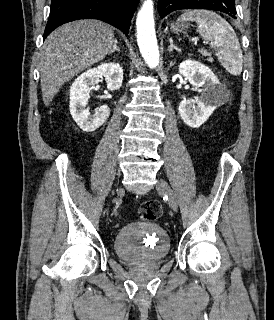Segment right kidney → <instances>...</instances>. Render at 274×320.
I'll return each mask as SVG.
<instances>
[{"label":"right kidney","instance_id":"right-kidney-1","mask_svg":"<svg viewBox=\"0 0 274 320\" xmlns=\"http://www.w3.org/2000/svg\"><path fill=\"white\" fill-rule=\"evenodd\" d=\"M100 78H105L108 90H119L123 82V68L115 62L100 64L98 68H91L81 74L70 88V114L83 132H95L107 122L110 116L108 106H99L92 116L89 110H86L89 100L88 92L100 82Z\"/></svg>","mask_w":274,"mask_h":320}]
</instances>
